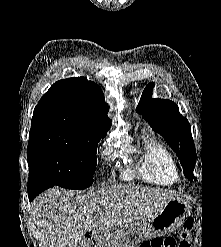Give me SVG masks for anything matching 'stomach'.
Returning <instances> with one entry per match:
<instances>
[{
	"label": "stomach",
	"instance_id": "stomach-1",
	"mask_svg": "<svg viewBox=\"0 0 221 247\" xmlns=\"http://www.w3.org/2000/svg\"><path fill=\"white\" fill-rule=\"evenodd\" d=\"M191 211L188 200L176 197L149 216L148 221L97 232V240L100 247H139L144 239L163 236L179 228Z\"/></svg>",
	"mask_w": 221,
	"mask_h": 247
}]
</instances>
